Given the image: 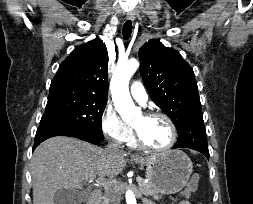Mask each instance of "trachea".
I'll list each match as a JSON object with an SVG mask.
<instances>
[{"label":"trachea","instance_id":"trachea-1","mask_svg":"<svg viewBox=\"0 0 253 204\" xmlns=\"http://www.w3.org/2000/svg\"><path fill=\"white\" fill-rule=\"evenodd\" d=\"M131 33H132V23L130 20L126 21L123 25V38L125 40H128L131 37Z\"/></svg>","mask_w":253,"mask_h":204}]
</instances>
